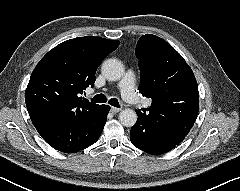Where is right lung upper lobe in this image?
<instances>
[{"label":"right lung upper lobe","instance_id":"obj_1","mask_svg":"<svg viewBox=\"0 0 240 191\" xmlns=\"http://www.w3.org/2000/svg\"><path fill=\"white\" fill-rule=\"evenodd\" d=\"M120 44L101 37H77L50 50L36 65L25 92L33 125L59 114L81 115L97 104L80 97L94 86L102 60Z\"/></svg>","mask_w":240,"mask_h":191}]
</instances>
